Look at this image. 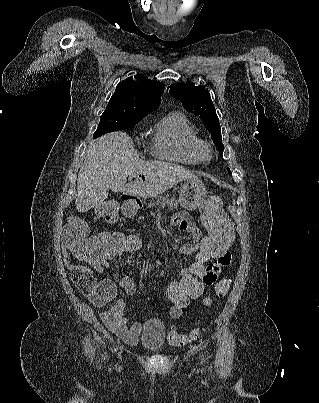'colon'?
Here are the masks:
<instances>
[{"label":"colon","mask_w":319,"mask_h":403,"mask_svg":"<svg viewBox=\"0 0 319 403\" xmlns=\"http://www.w3.org/2000/svg\"><path fill=\"white\" fill-rule=\"evenodd\" d=\"M102 208L98 218L106 224H112L116 219L115 201H103ZM201 220L207 231L205 238L199 242L198 255L188 268V275H180L179 282H164L163 288L164 291H169L170 301L166 310L170 313H182L183 309H191V300H198V296L206 295L203 272L218 261L220 252L236 242L233 219L225 217L220 197L211 196L201 206ZM63 234V247L70 248L79 260L97 258L99 255L100 258H125V254H142L139 234H125L122 229H97L95 234H89L88 237L86 223L78 216L70 219ZM70 277L75 287L89 296L95 276L90 271L73 270ZM230 286L229 278L221 279L215 286V296L225 297ZM198 335V331L184 334L173 328L168 335V342L174 347H180L196 339Z\"/></svg>","instance_id":"obj_1"}]
</instances>
